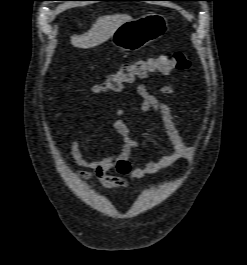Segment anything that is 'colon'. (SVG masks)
Wrapping results in <instances>:
<instances>
[{
    "mask_svg": "<svg viewBox=\"0 0 247 265\" xmlns=\"http://www.w3.org/2000/svg\"><path fill=\"white\" fill-rule=\"evenodd\" d=\"M190 67L187 56L180 51L170 55L159 54L137 61L124 63L109 75L104 81L92 87L93 94L106 97L110 93L119 92L124 85L139 78H146L151 74H167L172 70H186Z\"/></svg>",
    "mask_w": 247,
    "mask_h": 265,
    "instance_id": "obj_1",
    "label": "colon"
}]
</instances>
